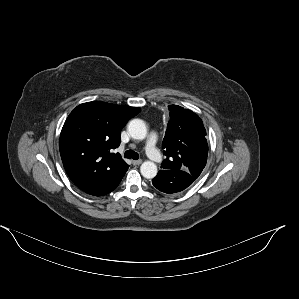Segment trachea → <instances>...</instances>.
Masks as SVG:
<instances>
[{"instance_id": "obj_1", "label": "trachea", "mask_w": 299, "mask_h": 299, "mask_svg": "<svg viewBox=\"0 0 299 299\" xmlns=\"http://www.w3.org/2000/svg\"><path fill=\"white\" fill-rule=\"evenodd\" d=\"M125 158L138 160L139 155L138 153L134 152L133 150H127L124 154Z\"/></svg>"}]
</instances>
